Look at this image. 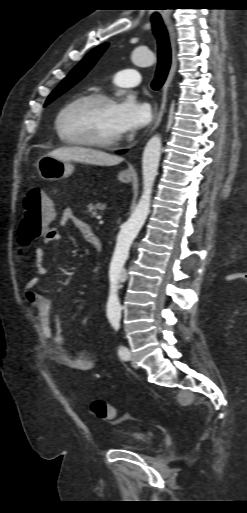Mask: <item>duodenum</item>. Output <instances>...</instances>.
Wrapping results in <instances>:
<instances>
[{
  "instance_id": "duodenum-1",
  "label": "duodenum",
  "mask_w": 247,
  "mask_h": 513,
  "mask_svg": "<svg viewBox=\"0 0 247 513\" xmlns=\"http://www.w3.org/2000/svg\"><path fill=\"white\" fill-rule=\"evenodd\" d=\"M87 241H89L97 251H101L102 242L94 233L88 235Z\"/></svg>"
}]
</instances>
